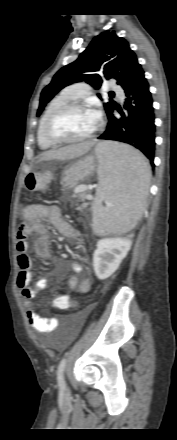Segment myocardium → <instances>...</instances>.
I'll return each instance as SVG.
<instances>
[{
	"mask_svg": "<svg viewBox=\"0 0 177 440\" xmlns=\"http://www.w3.org/2000/svg\"><path fill=\"white\" fill-rule=\"evenodd\" d=\"M73 110H88V108L83 103L72 101L62 105L48 117L44 125V135L50 142L54 144H75L88 141L93 137L96 128H93V130L85 137L78 139H67L54 133L53 127L57 123V121L63 115Z\"/></svg>",
	"mask_w": 177,
	"mask_h": 440,
	"instance_id": "myocardium-1",
	"label": "myocardium"
}]
</instances>
